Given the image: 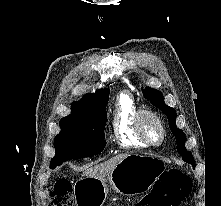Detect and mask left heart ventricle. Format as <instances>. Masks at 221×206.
<instances>
[{
  "mask_svg": "<svg viewBox=\"0 0 221 206\" xmlns=\"http://www.w3.org/2000/svg\"><path fill=\"white\" fill-rule=\"evenodd\" d=\"M144 126L148 138L153 142H158L161 137V131L158 125L153 120H145Z\"/></svg>",
  "mask_w": 221,
  "mask_h": 206,
  "instance_id": "b2bd125f",
  "label": "left heart ventricle"
}]
</instances>
